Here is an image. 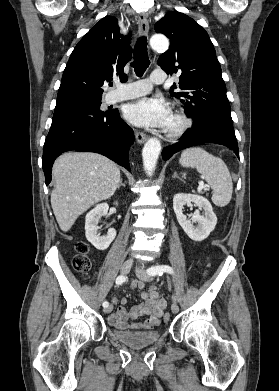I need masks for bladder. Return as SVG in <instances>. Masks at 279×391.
<instances>
[{"instance_id":"31cf9c89","label":"bladder","mask_w":279,"mask_h":391,"mask_svg":"<svg viewBox=\"0 0 279 391\" xmlns=\"http://www.w3.org/2000/svg\"><path fill=\"white\" fill-rule=\"evenodd\" d=\"M111 333L115 339L131 348H141L151 345L160 338L159 331H126L113 329Z\"/></svg>"}]
</instances>
